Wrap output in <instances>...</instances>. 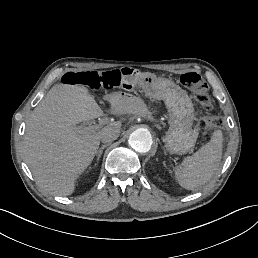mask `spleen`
Segmentation results:
<instances>
[{"instance_id": "3e777b00", "label": "spleen", "mask_w": 258, "mask_h": 258, "mask_svg": "<svg viewBox=\"0 0 258 258\" xmlns=\"http://www.w3.org/2000/svg\"><path fill=\"white\" fill-rule=\"evenodd\" d=\"M222 144V130H215L206 144L184 159L183 167L176 171V177L185 189L194 190L211 180L219 168Z\"/></svg>"}]
</instances>
